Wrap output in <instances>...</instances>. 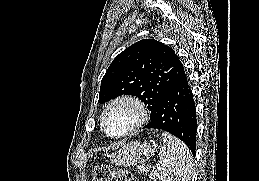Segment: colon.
I'll list each match as a JSON object with an SVG mask.
<instances>
[{"label":"colon","instance_id":"obj_1","mask_svg":"<svg viewBox=\"0 0 259 181\" xmlns=\"http://www.w3.org/2000/svg\"><path fill=\"white\" fill-rule=\"evenodd\" d=\"M93 181H133V177L127 170L111 168L100 164L94 167L92 172Z\"/></svg>","mask_w":259,"mask_h":181}]
</instances>
